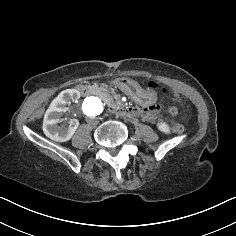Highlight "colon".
I'll return each mask as SVG.
<instances>
[{
  "label": "colon",
  "mask_w": 236,
  "mask_h": 236,
  "mask_svg": "<svg viewBox=\"0 0 236 236\" xmlns=\"http://www.w3.org/2000/svg\"><path fill=\"white\" fill-rule=\"evenodd\" d=\"M151 85L153 87H157V84L152 82ZM162 91H165V89H163ZM168 112L172 118V122H171V129L175 132H182L183 131V125L177 122V117L180 113V107L179 105L175 104V103H170L168 105Z\"/></svg>",
  "instance_id": "1"
}]
</instances>
